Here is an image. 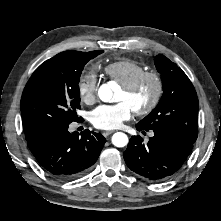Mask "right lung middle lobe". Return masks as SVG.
<instances>
[{
  "instance_id": "1",
  "label": "right lung middle lobe",
  "mask_w": 221,
  "mask_h": 221,
  "mask_svg": "<svg viewBox=\"0 0 221 221\" xmlns=\"http://www.w3.org/2000/svg\"><path fill=\"white\" fill-rule=\"evenodd\" d=\"M103 51L80 52L62 60H47L27 82L21 97L23 126L41 134L56 126L79 121V78L90 60Z\"/></svg>"
}]
</instances>
